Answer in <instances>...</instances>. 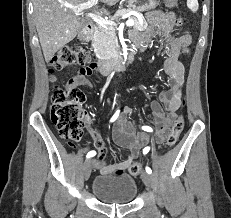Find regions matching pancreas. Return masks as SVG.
I'll list each match as a JSON object with an SVG mask.
<instances>
[{"label": "pancreas", "mask_w": 231, "mask_h": 218, "mask_svg": "<svg viewBox=\"0 0 231 218\" xmlns=\"http://www.w3.org/2000/svg\"><path fill=\"white\" fill-rule=\"evenodd\" d=\"M131 11V9H120L111 18V21L117 20L118 17L123 16ZM129 19L135 22L133 28L138 31H144L148 27V24L145 20L140 22L139 19L135 16H130ZM115 39L116 29L113 26L103 27L98 25L95 28L94 35L92 37L94 48L98 49L100 54L112 51L114 49L113 42Z\"/></svg>", "instance_id": "1"}]
</instances>
